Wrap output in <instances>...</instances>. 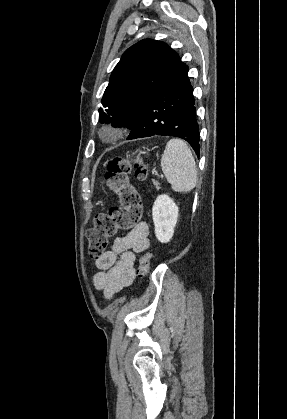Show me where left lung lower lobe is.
I'll use <instances>...</instances> for the list:
<instances>
[{
  "instance_id": "0a47b994",
  "label": "left lung lower lobe",
  "mask_w": 287,
  "mask_h": 419,
  "mask_svg": "<svg viewBox=\"0 0 287 419\" xmlns=\"http://www.w3.org/2000/svg\"><path fill=\"white\" fill-rule=\"evenodd\" d=\"M188 67L168 87L151 97L141 108L127 140L154 135L186 140L200 154L199 125Z\"/></svg>"
}]
</instances>
